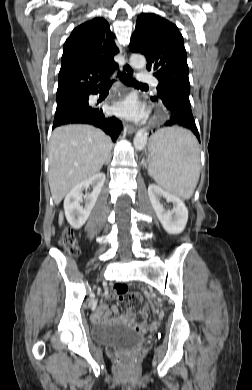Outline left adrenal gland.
Instances as JSON below:
<instances>
[{
	"label": "left adrenal gland",
	"mask_w": 252,
	"mask_h": 390,
	"mask_svg": "<svg viewBox=\"0 0 252 390\" xmlns=\"http://www.w3.org/2000/svg\"><path fill=\"white\" fill-rule=\"evenodd\" d=\"M142 163H143V165L146 167V163H145V160H144V159L142 160Z\"/></svg>",
	"instance_id": "a2214340"
}]
</instances>
